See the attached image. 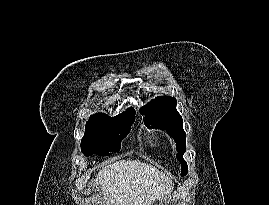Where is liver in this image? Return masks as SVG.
Listing matches in <instances>:
<instances>
[{"mask_svg": "<svg viewBox=\"0 0 269 205\" xmlns=\"http://www.w3.org/2000/svg\"><path fill=\"white\" fill-rule=\"evenodd\" d=\"M106 205H153L174 188L172 180L139 160H119L96 175Z\"/></svg>", "mask_w": 269, "mask_h": 205, "instance_id": "obj_1", "label": "liver"}]
</instances>
